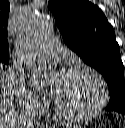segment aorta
I'll return each mask as SVG.
<instances>
[{
  "mask_svg": "<svg viewBox=\"0 0 125 128\" xmlns=\"http://www.w3.org/2000/svg\"><path fill=\"white\" fill-rule=\"evenodd\" d=\"M52 22L47 17L29 16L22 21L17 46L22 57L27 61L30 59L36 48L50 35ZM36 79L45 85L48 82V75L43 72L34 71Z\"/></svg>",
  "mask_w": 125,
  "mask_h": 128,
  "instance_id": "obj_1",
  "label": "aorta"
}]
</instances>
